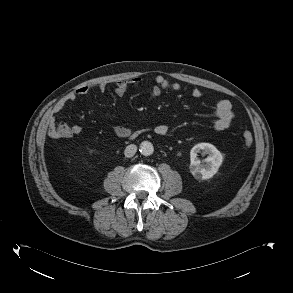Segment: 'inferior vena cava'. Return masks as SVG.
<instances>
[{
	"label": "inferior vena cava",
	"mask_w": 293,
	"mask_h": 293,
	"mask_svg": "<svg viewBox=\"0 0 293 293\" xmlns=\"http://www.w3.org/2000/svg\"><path fill=\"white\" fill-rule=\"evenodd\" d=\"M137 151V146L130 144L125 148L124 155L128 158L133 157Z\"/></svg>",
	"instance_id": "602c4592"
}]
</instances>
